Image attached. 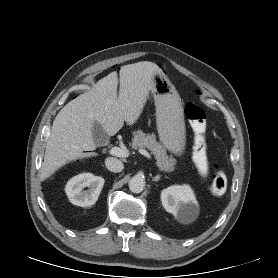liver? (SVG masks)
Segmentation results:
<instances>
[{"label":"liver","mask_w":278,"mask_h":278,"mask_svg":"<svg viewBox=\"0 0 278 278\" xmlns=\"http://www.w3.org/2000/svg\"><path fill=\"white\" fill-rule=\"evenodd\" d=\"M162 70L154 63L139 62L112 72L94 87L66 104L57 114L47 141L40 178L45 180L65 164L97 156L93 124L97 121L108 136L115 135L126 122L140 117L152 89V76Z\"/></svg>","instance_id":"1"}]
</instances>
